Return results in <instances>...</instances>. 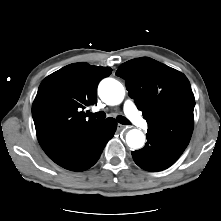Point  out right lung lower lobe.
Returning <instances> with one entry per match:
<instances>
[{
    "label": "right lung lower lobe",
    "instance_id": "obj_1",
    "mask_svg": "<svg viewBox=\"0 0 221 221\" xmlns=\"http://www.w3.org/2000/svg\"><path fill=\"white\" fill-rule=\"evenodd\" d=\"M116 127L117 122L113 118L100 120L72 137L49 157L65 169L84 171L97 162Z\"/></svg>",
    "mask_w": 221,
    "mask_h": 221
}]
</instances>
